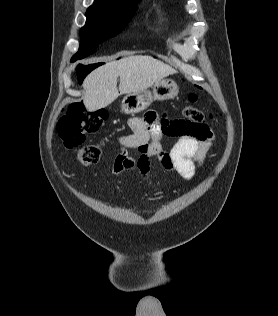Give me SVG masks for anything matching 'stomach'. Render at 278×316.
Listing matches in <instances>:
<instances>
[{
  "instance_id": "1",
  "label": "stomach",
  "mask_w": 278,
  "mask_h": 316,
  "mask_svg": "<svg viewBox=\"0 0 278 316\" xmlns=\"http://www.w3.org/2000/svg\"><path fill=\"white\" fill-rule=\"evenodd\" d=\"M178 93V86L175 81L161 79L157 81L150 90L139 93L127 94L121 104V109L126 114H135L147 109L155 100L164 101L174 98Z\"/></svg>"
}]
</instances>
